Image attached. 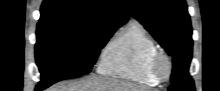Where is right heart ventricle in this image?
Returning a JSON list of instances; mask_svg holds the SVG:
<instances>
[{
	"label": "right heart ventricle",
	"mask_w": 220,
	"mask_h": 91,
	"mask_svg": "<svg viewBox=\"0 0 220 91\" xmlns=\"http://www.w3.org/2000/svg\"><path fill=\"white\" fill-rule=\"evenodd\" d=\"M158 51L156 41L145 26L132 20L103 50L98 72L145 86H155L159 80L151 71V60Z\"/></svg>",
	"instance_id": "right-heart-ventricle-1"
}]
</instances>
